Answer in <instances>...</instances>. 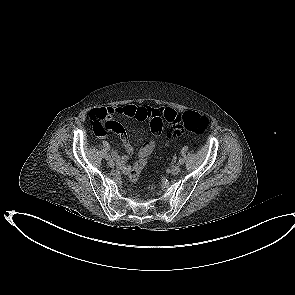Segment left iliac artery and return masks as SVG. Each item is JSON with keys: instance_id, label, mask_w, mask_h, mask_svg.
<instances>
[{"instance_id": "left-iliac-artery-1", "label": "left iliac artery", "mask_w": 295, "mask_h": 295, "mask_svg": "<svg viewBox=\"0 0 295 295\" xmlns=\"http://www.w3.org/2000/svg\"><path fill=\"white\" fill-rule=\"evenodd\" d=\"M179 163H180V164H183V163H184V159L180 158V159H179Z\"/></svg>"}]
</instances>
